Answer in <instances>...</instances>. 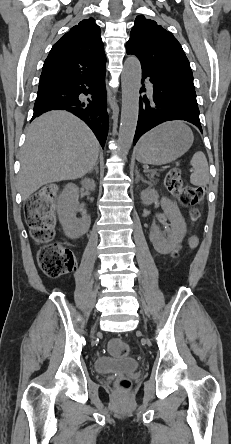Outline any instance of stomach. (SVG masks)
Returning a JSON list of instances; mask_svg holds the SVG:
<instances>
[{"instance_id":"0dacf381","label":"stomach","mask_w":231,"mask_h":444,"mask_svg":"<svg viewBox=\"0 0 231 444\" xmlns=\"http://www.w3.org/2000/svg\"><path fill=\"white\" fill-rule=\"evenodd\" d=\"M193 139L191 129L183 122H167L140 139L136 147V158L141 163L164 165L187 152Z\"/></svg>"}]
</instances>
